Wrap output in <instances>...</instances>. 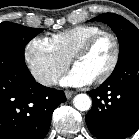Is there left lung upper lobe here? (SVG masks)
I'll list each match as a JSON object with an SVG mask.
<instances>
[{"instance_id": "1", "label": "left lung upper lobe", "mask_w": 139, "mask_h": 139, "mask_svg": "<svg viewBox=\"0 0 139 139\" xmlns=\"http://www.w3.org/2000/svg\"><path fill=\"white\" fill-rule=\"evenodd\" d=\"M90 21H99L108 24L120 43L117 65L124 62L134 53H139V30L128 20L113 13H103Z\"/></svg>"}]
</instances>
